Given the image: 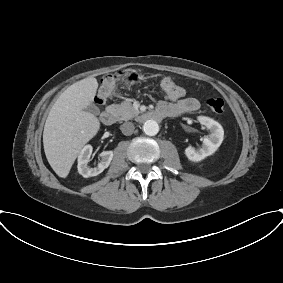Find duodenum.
<instances>
[{
	"label": "duodenum",
	"mask_w": 283,
	"mask_h": 283,
	"mask_svg": "<svg viewBox=\"0 0 283 283\" xmlns=\"http://www.w3.org/2000/svg\"><path fill=\"white\" fill-rule=\"evenodd\" d=\"M173 112L171 110H156L144 112L139 116L140 121H160L163 118L171 117ZM116 115L112 109H107L100 114V121L105 125H110L115 121Z\"/></svg>",
	"instance_id": "obj_1"
}]
</instances>
